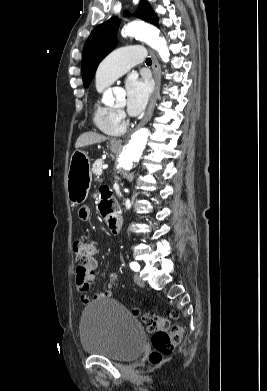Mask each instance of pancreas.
<instances>
[{"label": "pancreas", "instance_id": "cf45deb5", "mask_svg": "<svg viewBox=\"0 0 267 391\" xmlns=\"http://www.w3.org/2000/svg\"><path fill=\"white\" fill-rule=\"evenodd\" d=\"M104 164V161L102 159H98L94 162L93 164V168H92V172L96 175V176H100L102 175V166Z\"/></svg>", "mask_w": 267, "mask_h": 391}]
</instances>
